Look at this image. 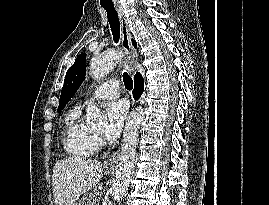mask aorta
Returning a JSON list of instances; mask_svg holds the SVG:
<instances>
[{"label": "aorta", "instance_id": "1", "mask_svg": "<svg viewBox=\"0 0 269 205\" xmlns=\"http://www.w3.org/2000/svg\"><path fill=\"white\" fill-rule=\"evenodd\" d=\"M121 52L110 50L100 55H95L90 63V72L94 79H101L107 75L121 60ZM144 119L142 108H136L128 117L123 136V145L116 168L115 179L110 192L114 202L120 201L125 195L131 174L134 169L135 156L138 144V130ZM103 115L95 105H89L86 110V124L89 127L99 125Z\"/></svg>", "mask_w": 269, "mask_h": 205}]
</instances>
